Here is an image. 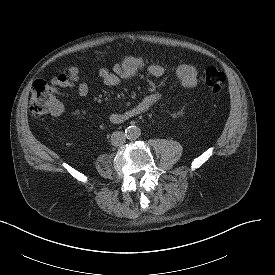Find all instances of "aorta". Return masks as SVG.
Listing matches in <instances>:
<instances>
[{"instance_id":"762f6f07","label":"aorta","mask_w":275,"mask_h":275,"mask_svg":"<svg viewBox=\"0 0 275 275\" xmlns=\"http://www.w3.org/2000/svg\"><path fill=\"white\" fill-rule=\"evenodd\" d=\"M141 135V130L137 126H129L125 130V136L127 139L135 140Z\"/></svg>"}]
</instances>
